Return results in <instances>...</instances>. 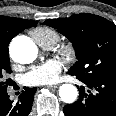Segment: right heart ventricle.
<instances>
[{
  "label": "right heart ventricle",
  "instance_id": "right-heart-ventricle-1",
  "mask_svg": "<svg viewBox=\"0 0 116 116\" xmlns=\"http://www.w3.org/2000/svg\"><path fill=\"white\" fill-rule=\"evenodd\" d=\"M34 40L43 48H51L59 39V33L50 27H37L31 31Z\"/></svg>",
  "mask_w": 116,
  "mask_h": 116
}]
</instances>
